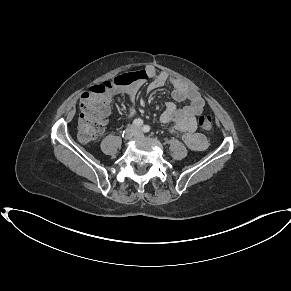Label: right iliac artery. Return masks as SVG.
I'll list each match as a JSON object with an SVG mask.
<instances>
[{"label": "right iliac artery", "mask_w": 291, "mask_h": 291, "mask_svg": "<svg viewBox=\"0 0 291 291\" xmlns=\"http://www.w3.org/2000/svg\"><path fill=\"white\" fill-rule=\"evenodd\" d=\"M133 124H134L135 126H142V125H143V120L140 119V118L135 119V120L133 121Z\"/></svg>", "instance_id": "right-iliac-artery-1"}]
</instances>
